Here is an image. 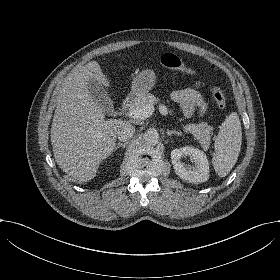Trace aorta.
Instances as JSON below:
<instances>
[{
  "instance_id": "obj_1",
  "label": "aorta",
  "mask_w": 280,
  "mask_h": 280,
  "mask_svg": "<svg viewBox=\"0 0 280 280\" xmlns=\"http://www.w3.org/2000/svg\"><path fill=\"white\" fill-rule=\"evenodd\" d=\"M143 140L147 144H156L159 140V134L156 129H149L144 133Z\"/></svg>"
}]
</instances>
